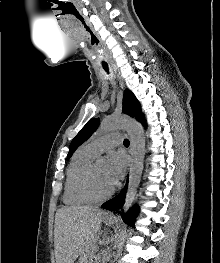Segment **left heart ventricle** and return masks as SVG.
Segmentation results:
<instances>
[{"label":"left heart ventricle","mask_w":220,"mask_h":263,"mask_svg":"<svg viewBox=\"0 0 220 263\" xmlns=\"http://www.w3.org/2000/svg\"><path fill=\"white\" fill-rule=\"evenodd\" d=\"M94 182L97 191L100 193H105L114 186L106 176L104 163L94 164Z\"/></svg>","instance_id":"1"}]
</instances>
